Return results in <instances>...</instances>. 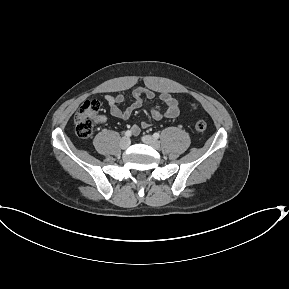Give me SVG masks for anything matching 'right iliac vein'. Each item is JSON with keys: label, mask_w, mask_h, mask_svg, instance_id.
<instances>
[{"label": "right iliac vein", "mask_w": 289, "mask_h": 289, "mask_svg": "<svg viewBox=\"0 0 289 289\" xmlns=\"http://www.w3.org/2000/svg\"><path fill=\"white\" fill-rule=\"evenodd\" d=\"M130 145V139L128 137H123L120 140V148L121 149H127Z\"/></svg>", "instance_id": "1"}]
</instances>
